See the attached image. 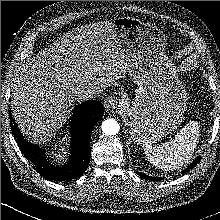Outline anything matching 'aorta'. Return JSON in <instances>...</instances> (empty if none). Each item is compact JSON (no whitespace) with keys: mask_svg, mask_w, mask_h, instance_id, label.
Masks as SVG:
<instances>
[{"mask_svg":"<svg viewBox=\"0 0 220 220\" xmlns=\"http://www.w3.org/2000/svg\"><path fill=\"white\" fill-rule=\"evenodd\" d=\"M102 131L105 135H116L119 132L120 126L115 119H107L102 122Z\"/></svg>","mask_w":220,"mask_h":220,"instance_id":"obj_1","label":"aorta"}]
</instances>
